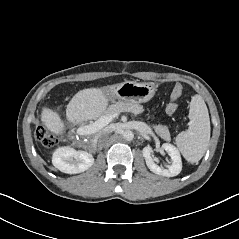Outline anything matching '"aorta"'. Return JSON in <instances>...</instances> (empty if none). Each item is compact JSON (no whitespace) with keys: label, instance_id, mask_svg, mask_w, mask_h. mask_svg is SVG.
Instances as JSON below:
<instances>
[{"label":"aorta","instance_id":"1","mask_svg":"<svg viewBox=\"0 0 239 239\" xmlns=\"http://www.w3.org/2000/svg\"><path fill=\"white\" fill-rule=\"evenodd\" d=\"M123 137H124L125 140L131 141V140H133V138H134V134H133L132 131L126 130V131H124V133H123Z\"/></svg>","mask_w":239,"mask_h":239}]
</instances>
